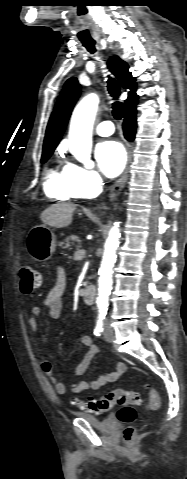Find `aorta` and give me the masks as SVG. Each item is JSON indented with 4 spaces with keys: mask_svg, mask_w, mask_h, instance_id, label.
I'll list each match as a JSON object with an SVG mask.
<instances>
[{
    "mask_svg": "<svg viewBox=\"0 0 187 479\" xmlns=\"http://www.w3.org/2000/svg\"><path fill=\"white\" fill-rule=\"evenodd\" d=\"M99 104V98L91 93L84 97L74 109L69 129V149L72 155L86 168H93L90 160L92 149V128ZM119 222H115L105 243V250L98 275V311L105 314L112 289V270L116 262V250L119 246Z\"/></svg>",
    "mask_w": 187,
    "mask_h": 479,
    "instance_id": "762f6f07",
    "label": "aorta"
}]
</instances>
